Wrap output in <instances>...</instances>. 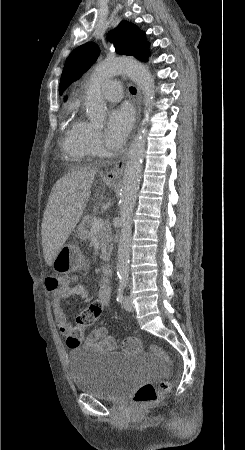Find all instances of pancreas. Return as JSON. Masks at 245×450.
Masks as SVG:
<instances>
[{
  "label": "pancreas",
  "instance_id": "1",
  "mask_svg": "<svg viewBox=\"0 0 245 450\" xmlns=\"http://www.w3.org/2000/svg\"><path fill=\"white\" fill-rule=\"evenodd\" d=\"M95 217L93 215L84 216L81 223L78 226L79 237L83 240H91L92 238V223ZM97 238L100 243L101 255L100 258L107 261L110 258L112 251L111 243V229L109 227H103L97 234Z\"/></svg>",
  "mask_w": 245,
  "mask_h": 450
}]
</instances>
